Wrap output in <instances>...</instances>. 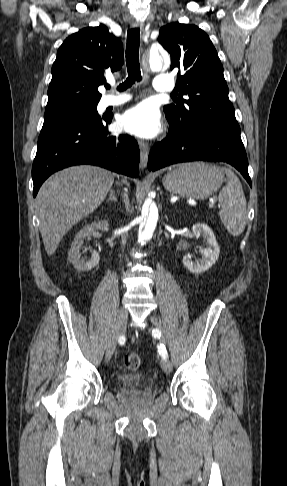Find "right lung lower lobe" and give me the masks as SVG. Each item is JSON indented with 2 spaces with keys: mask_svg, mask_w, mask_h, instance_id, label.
I'll list each match as a JSON object with an SVG mask.
<instances>
[{
  "mask_svg": "<svg viewBox=\"0 0 287 486\" xmlns=\"http://www.w3.org/2000/svg\"><path fill=\"white\" fill-rule=\"evenodd\" d=\"M112 115L76 124L42 129L32 167L33 196L54 172L68 166L92 164L131 177L139 174V147L129 135L109 134Z\"/></svg>",
  "mask_w": 287,
  "mask_h": 486,
  "instance_id": "1",
  "label": "right lung lower lobe"
}]
</instances>
